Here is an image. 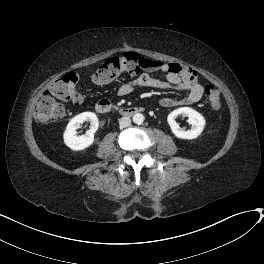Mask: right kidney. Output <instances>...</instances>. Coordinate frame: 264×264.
<instances>
[{"instance_id":"right-kidney-1","label":"right kidney","mask_w":264,"mask_h":264,"mask_svg":"<svg viewBox=\"0 0 264 264\" xmlns=\"http://www.w3.org/2000/svg\"><path fill=\"white\" fill-rule=\"evenodd\" d=\"M90 122V129L86 134L77 135L76 130L80 128V125L85 122ZM99 127V121L95 113L83 112L73 117L68 123L64 132V143L74 151L83 150L91 146L94 142V133Z\"/></svg>"}]
</instances>
